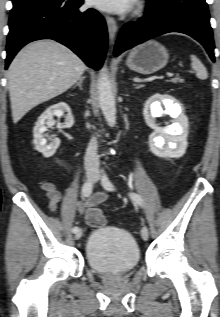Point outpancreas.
<instances>
[{
    "label": "pancreas",
    "mask_w": 220,
    "mask_h": 317,
    "mask_svg": "<svg viewBox=\"0 0 220 317\" xmlns=\"http://www.w3.org/2000/svg\"><path fill=\"white\" fill-rule=\"evenodd\" d=\"M170 81L173 83H177V82H183L184 80L179 78V77H176V78L171 79Z\"/></svg>",
    "instance_id": "pancreas-1"
}]
</instances>
